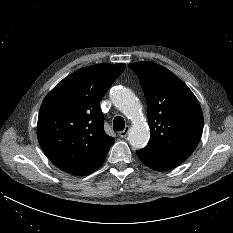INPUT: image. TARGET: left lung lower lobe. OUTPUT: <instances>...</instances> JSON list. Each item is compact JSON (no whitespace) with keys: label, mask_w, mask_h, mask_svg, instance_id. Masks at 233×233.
Here are the masks:
<instances>
[{"label":"left lung lower lobe","mask_w":233,"mask_h":233,"mask_svg":"<svg viewBox=\"0 0 233 233\" xmlns=\"http://www.w3.org/2000/svg\"><path fill=\"white\" fill-rule=\"evenodd\" d=\"M137 155L146 166L157 171L173 169L187 158L184 155L159 152L146 147L138 150Z\"/></svg>","instance_id":"1"}]
</instances>
